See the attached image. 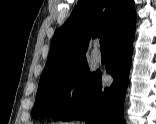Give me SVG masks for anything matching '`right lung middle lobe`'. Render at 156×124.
I'll use <instances>...</instances> for the list:
<instances>
[{
  "label": "right lung middle lobe",
  "mask_w": 156,
  "mask_h": 124,
  "mask_svg": "<svg viewBox=\"0 0 156 124\" xmlns=\"http://www.w3.org/2000/svg\"><path fill=\"white\" fill-rule=\"evenodd\" d=\"M98 71L91 73L84 62L63 72L40 79L32 115L61 120L78 105ZM74 88L71 98L70 92Z\"/></svg>",
  "instance_id": "1"
}]
</instances>
